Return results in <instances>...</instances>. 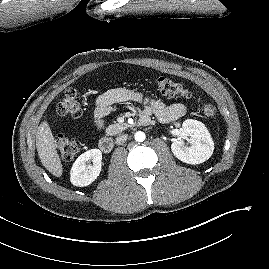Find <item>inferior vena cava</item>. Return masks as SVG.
I'll return each mask as SVG.
<instances>
[{
    "label": "inferior vena cava",
    "mask_w": 269,
    "mask_h": 269,
    "mask_svg": "<svg viewBox=\"0 0 269 269\" xmlns=\"http://www.w3.org/2000/svg\"><path fill=\"white\" fill-rule=\"evenodd\" d=\"M127 138H128L127 134L120 135L119 137L116 138V144L121 145V144L125 143Z\"/></svg>",
    "instance_id": "inferior-vena-cava-1"
}]
</instances>
